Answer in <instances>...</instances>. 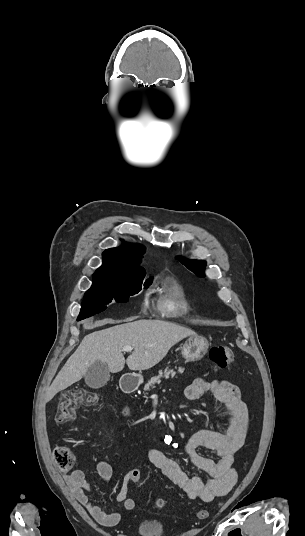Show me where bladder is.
Segmentation results:
<instances>
[{
  "instance_id": "obj_1",
  "label": "bladder",
  "mask_w": 305,
  "mask_h": 536,
  "mask_svg": "<svg viewBox=\"0 0 305 536\" xmlns=\"http://www.w3.org/2000/svg\"><path fill=\"white\" fill-rule=\"evenodd\" d=\"M139 536H164L165 525L161 521L141 519L136 525Z\"/></svg>"
}]
</instances>
